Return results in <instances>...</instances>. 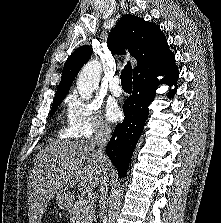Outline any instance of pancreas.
Wrapping results in <instances>:
<instances>
[{
	"label": "pancreas",
	"instance_id": "cf45deb5",
	"mask_svg": "<svg viewBox=\"0 0 221 223\" xmlns=\"http://www.w3.org/2000/svg\"><path fill=\"white\" fill-rule=\"evenodd\" d=\"M71 223H92L95 220L93 201L89 204L84 199L75 201L68 211Z\"/></svg>",
	"mask_w": 221,
	"mask_h": 223
}]
</instances>
